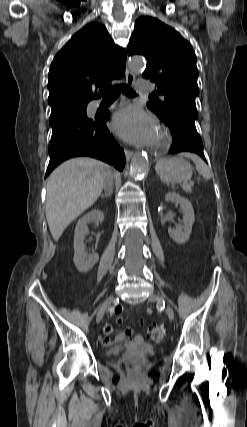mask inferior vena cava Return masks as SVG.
<instances>
[{"label":"inferior vena cava","instance_id":"1","mask_svg":"<svg viewBox=\"0 0 247 427\" xmlns=\"http://www.w3.org/2000/svg\"><path fill=\"white\" fill-rule=\"evenodd\" d=\"M112 184H113V176L109 175L106 180H105V184L104 187L107 191H109L110 189H112Z\"/></svg>","mask_w":247,"mask_h":427}]
</instances>
